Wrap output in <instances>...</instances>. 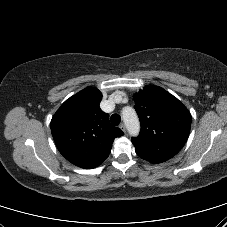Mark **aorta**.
Here are the masks:
<instances>
[{
	"label": "aorta",
	"instance_id": "obj_1",
	"mask_svg": "<svg viewBox=\"0 0 227 227\" xmlns=\"http://www.w3.org/2000/svg\"><path fill=\"white\" fill-rule=\"evenodd\" d=\"M122 117L129 134L137 136L140 131V122L135 110L131 107L123 108Z\"/></svg>",
	"mask_w": 227,
	"mask_h": 227
}]
</instances>
